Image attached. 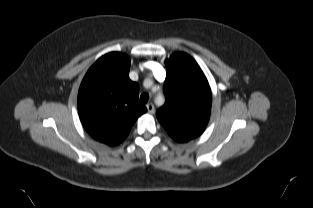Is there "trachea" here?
I'll use <instances>...</instances> for the list:
<instances>
[{
  "mask_svg": "<svg viewBox=\"0 0 313 208\" xmlns=\"http://www.w3.org/2000/svg\"><path fill=\"white\" fill-rule=\"evenodd\" d=\"M149 100V95L146 94V93H143L141 96H140V101L141 103L143 104H146Z\"/></svg>",
  "mask_w": 313,
  "mask_h": 208,
  "instance_id": "1",
  "label": "trachea"
}]
</instances>
